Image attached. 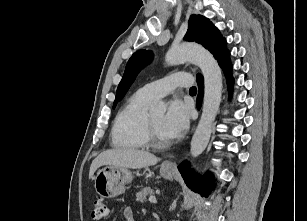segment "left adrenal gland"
<instances>
[{
  "label": "left adrenal gland",
  "mask_w": 307,
  "mask_h": 221,
  "mask_svg": "<svg viewBox=\"0 0 307 221\" xmlns=\"http://www.w3.org/2000/svg\"><path fill=\"white\" fill-rule=\"evenodd\" d=\"M176 208V201L173 202L171 209L174 210Z\"/></svg>",
  "instance_id": "left-adrenal-gland-1"
}]
</instances>
